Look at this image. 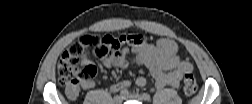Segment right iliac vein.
<instances>
[{"label":"right iliac vein","mask_w":252,"mask_h":104,"mask_svg":"<svg viewBox=\"0 0 252 104\" xmlns=\"http://www.w3.org/2000/svg\"><path fill=\"white\" fill-rule=\"evenodd\" d=\"M123 101V97L122 96H115L114 99H113V102L115 104H121Z\"/></svg>","instance_id":"obj_1"}]
</instances>
